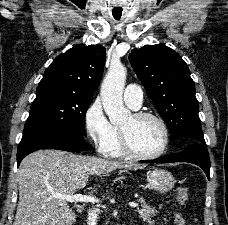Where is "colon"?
Segmentation results:
<instances>
[{
    "label": "colon",
    "instance_id": "1",
    "mask_svg": "<svg viewBox=\"0 0 228 225\" xmlns=\"http://www.w3.org/2000/svg\"><path fill=\"white\" fill-rule=\"evenodd\" d=\"M177 198L180 201H184L187 198V189L185 187H180L177 190ZM175 225H186V220L181 212H176L173 218Z\"/></svg>",
    "mask_w": 228,
    "mask_h": 225
}]
</instances>
